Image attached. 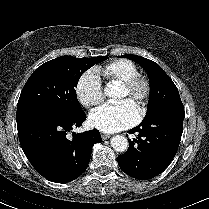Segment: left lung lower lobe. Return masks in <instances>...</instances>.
I'll return each instance as SVG.
<instances>
[{
	"label": "left lung lower lobe",
	"instance_id": "obj_1",
	"mask_svg": "<svg viewBox=\"0 0 209 209\" xmlns=\"http://www.w3.org/2000/svg\"><path fill=\"white\" fill-rule=\"evenodd\" d=\"M184 110H171L143 120L128 131L138 133L129 149L118 156L120 168L129 176L148 180L162 173L174 158L183 132Z\"/></svg>",
	"mask_w": 209,
	"mask_h": 209
}]
</instances>
